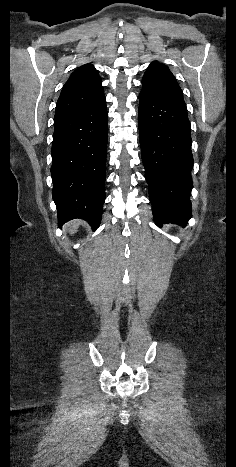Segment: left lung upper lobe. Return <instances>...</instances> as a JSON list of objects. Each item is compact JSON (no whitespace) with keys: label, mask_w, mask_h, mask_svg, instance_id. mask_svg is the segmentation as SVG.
<instances>
[{"label":"left lung upper lobe","mask_w":236,"mask_h":467,"mask_svg":"<svg viewBox=\"0 0 236 467\" xmlns=\"http://www.w3.org/2000/svg\"><path fill=\"white\" fill-rule=\"evenodd\" d=\"M142 90L160 97L183 99V92L174 75L159 62H152L149 65L143 76Z\"/></svg>","instance_id":"1"}]
</instances>
